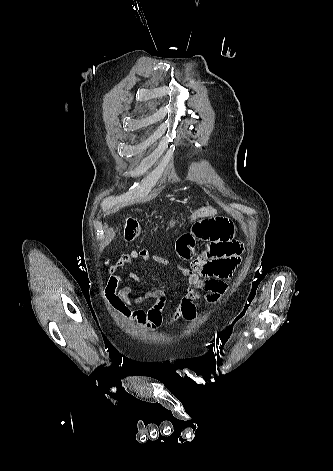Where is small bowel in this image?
I'll use <instances>...</instances> for the list:
<instances>
[{"label":"small bowel","mask_w":333,"mask_h":471,"mask_svg":"<svg viewBox=\"0 0 333 471\" xmlns=\"http://www.w3.org/2000/svg\"><path fill=\"white\" fill-rule=\"evenodd\" d=\"M198 241L206 242V247L200 254L195 249ZM177 250L181 258L190 261L189 267L176 266L187 281L188 290L168 321L163 320L167 300L163 291L153 290L134 296L130 286H121L124 276L120 271L135 259H152L164 266L169 264L166 258L151 256L145 249L132 250L122 255L111 267L105 296L113 309L128 321L136 322L150 331L172 327L179 320L193 322L197 315L198 301L217 303L227 292L229 286L225 279L231 277L240 265L244 247L235 238L233 221L228 217L213 215L199 217L191 231L178 239ZM125 277L140 281V277L132 272ZM146 300H152V305L146 309L139 307Z\"/></svg>","instance_id":"obj_1"}]
</instances>
